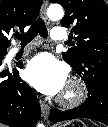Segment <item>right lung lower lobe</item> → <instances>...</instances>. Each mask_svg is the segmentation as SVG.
I'll return each mask as SVG.
<instances>
[{
    "instance_id": "obj_1",
    "label": "right lung lower lobe",
    "mask_w": 108,
    "mask_h": 127,
    "mask_svg": "<svg viewBox=\"0 0 108 127\" xmlns=\"http://www.w3.org/2000/svg\"><path fill=\"white\" fill-rule=\"evenodd\" d=\"M40 116L39 100L19 71L0 68V122L10 127H35Z\"/></svg>"
}]
</instances>
